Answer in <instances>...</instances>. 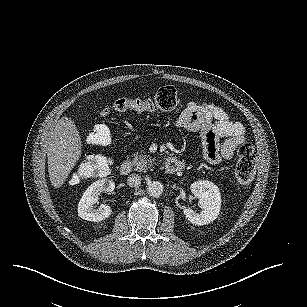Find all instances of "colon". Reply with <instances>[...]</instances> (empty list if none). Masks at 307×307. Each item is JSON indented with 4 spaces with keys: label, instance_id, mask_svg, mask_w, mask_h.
<instances>
[{
    "label": "colon",
    "instance_id": "1",
    "mask_svg": "<svg viewBox=\"0 0 307 307\" xmlns=\"http://www.w3.org/2000/svg\"><path fill=\"white\" fill-rule=\"evenodd\" d=\"M181 103L180 95L172 86H165L147 97H121L112 105L115 111H170ZM110 108H105L102 114H107ZM90 144L109 146L113 143L110 129L105 124L96 125L88 136ZM111 161L101 155L89 154L77 165L70 176V183H77L84 179L106 174L110 169ZM255 177V156L253 146L248 142L241 143L237 148L236 178L243 187H249Z\"/></svg>",
    "mask_w": 307,
    "mask_h": 307
}]
</instances>
